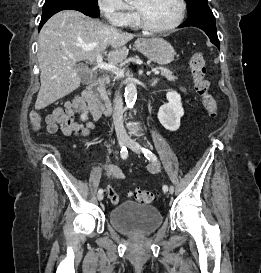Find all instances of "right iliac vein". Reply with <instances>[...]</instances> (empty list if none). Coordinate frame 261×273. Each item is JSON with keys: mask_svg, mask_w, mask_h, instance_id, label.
Here are the masks:
<instances>
[{"mask_svg": "<svg viewBox=\"0 0 261 273\" xmlns=\"http://www.w3.org/2000/svg\"><path fill=\"white\" fill-rule=\"evenodd\" d=\"M118 144L120 148L123 147L126 144V138L124 136H120L118 138ZM97 198L99 201H102L104 198L103 193L98 194Z\"/></svg>", "mask_w": 261, "mask_h": 273, "instance_id": "right-iliac-vein-1", "label": "right iliac vein"}]
</instances>
